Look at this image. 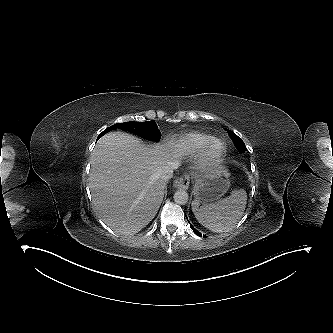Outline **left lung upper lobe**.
<instances>
[{"label": "left lung upper lobe", "instance_id": "1", "mask_svg": "<svg viewBox=\"0 0 333 333\" xmlns=\"http://www.w3.org/2000/svg\"><path fill=\"white\" fill-rule=\"evenodd\" d=\"M228 133L230 134L231 138L233 139L237 149L240 152H244L246 150V146L244 144V142L241 140L240 137H238L234 132L228 130Z\"/></svg>", "mask_w": 333, "mask_h": 333}]
</instances>
